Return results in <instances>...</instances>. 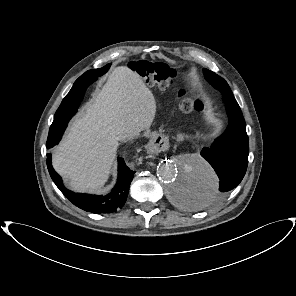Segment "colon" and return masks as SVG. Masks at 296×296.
<instances>
[{
    "mask_svg": "<svg viewBox=\"0 0 296 296\" xmlns=\"http://www.w3.org/2000/svg\"><path fill=\"white\" fill-rule=\"evenodd\" d=\"M130 68L141 76L147 83L156 84L167 88L175 83L178 72L163 63H150L147 61H134L130 63ZM204 103L201 100L192 101L181 97L180 108L183 112L202 111Z\"/></svg>",
    "mask_w": 296,
    "mask_h": 296,
    "instance_id": "1",
    "label": "colon"
}]
</instances>
